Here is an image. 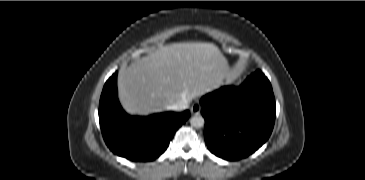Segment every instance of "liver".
Here are the masks:
<instances>
[{
    "label": "liver",
    "mask_w": 365,
    "mask_h": 180,
    "mask_svg": "<svg viewBox=\"0 0 365 180\" xmlns=\"http://www.w3.org/2000/svg\"><path fill=\"white\" fill-rule=\"evenodd\" d=\"M231 76L228 60L213 43L162 46L122 70L118 94L130 114L148 115L186 99L188 104Z\"/></svg>",
    "instance_id": "liver-1"
}]
</instances>
